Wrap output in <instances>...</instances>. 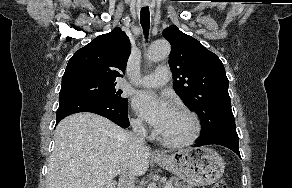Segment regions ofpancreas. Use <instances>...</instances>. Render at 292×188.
Wrapping results in <instances>:
<instances>
[{"mask_svg": "<svg viewBox=\"0 0 292 188\" xmlns=\"http://www.w3.org/2000/svg\"><path fill=\"white\" fill-rule=\"evenodd\" d=\"M169 182L173 183L172 188H191L190 185L185 182H179V180L175 177H171Z\"/></svg>", "mask_w": 292, "mask_h": 188, "instance_id": "1", "label": "pancreas"}]
</instances>
